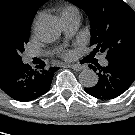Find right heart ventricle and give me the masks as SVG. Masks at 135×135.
Instances as JSON below:
<instances>
[{
	"label": "right heart ventricle",
	"instance_id": "obj_1",
	"mask_svg": "<svg viewBox=\"0 0 135 135\" xmlns=\"http://www.w3.org/2000/svg\"><path fill=\"white\" fill-rule=\"evenodd\" d=\"M69 15H79V10L74 5H66L60 11V18Z\"/></svg>",
	"mask_w": 135,
	"mask_h": 135
}]
</instances>
